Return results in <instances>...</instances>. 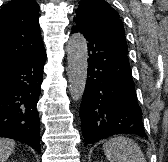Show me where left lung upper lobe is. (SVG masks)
<instances>
[{
    "label": "left lung upper lobe",
    "instance_id": "obj_1",
    "mask_svg": "<svg viewBox=\"0 0 168 162\" xmlns=\"http://www.w3.org/2000/svg\"><path fill=\"white\" fill-rule=\"evenodd\" d=\"M75 23H83L128 50L125 31L119 14L105 0H81Z\"/></svg>",
    "mask_w": 168,
    "mask_h": 162
}]
</instances>
